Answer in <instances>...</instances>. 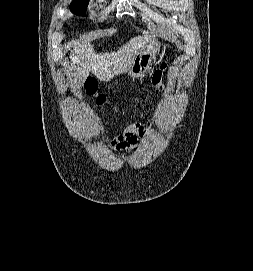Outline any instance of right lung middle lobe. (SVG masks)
I'll return each mask as SVG.
<instances>
[{
  "mask_svg": "<svg viewBox=\"0 0 253 271\" xmlns=\"http://www.w3.org/2000/svg\"><path fill=\"white\" fill-rule=\"evenodd\" d=\"M89 0H73L70 4V10L74 14L85 15L83 12L86 10Z\"/></svg>",
  "mask_w": 253,
  "mask_h": 271,
  "instance_id": "right-lung-middle-lobe-1",
  "label": "right lung middle lobe"
}]
</instances>
